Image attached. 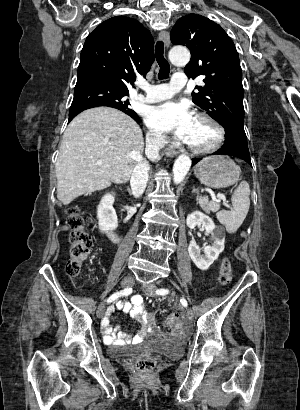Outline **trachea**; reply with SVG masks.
Segmentation results:
<instances>
[{"mask_svg": "<svg viewBox=\"0 0 300 410\" xmlns=\"http://www.w3.org/2000/svg\"><path fill=\"white\" fill-rule=\"evenodd\" d=\"M156 61L159 65V74L158 78L160 80L167 79L170 73V65L168 61L164 58V43L162 41H158L156 43Z\"/></svg>", "mask_w": 300, "mask_h": 410, "instance_id": "trachea-1", "label": "trachea"}]
</instances>
